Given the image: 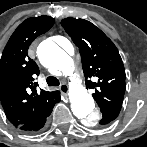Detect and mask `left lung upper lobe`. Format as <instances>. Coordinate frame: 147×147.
Instances as JSON below:
<instances>
[{
  "mask_svg": "<svg viewBox=\"0 0 147 147\" xmlns=\"http://www.w3.org/2000/svg\"><path fill=\"white\" fill-rule=\"evenodd\" d=\"M61 25L79 48L86 87L100 109L121 106L125 92V69L114 43L94 24L66 18Z\"/></svg>",
  "mask_w": 147,
  "mask_h": 147,
  "instance_id": "obj_1",
  "label": "left lung upper lobe"
}]
</instances>
